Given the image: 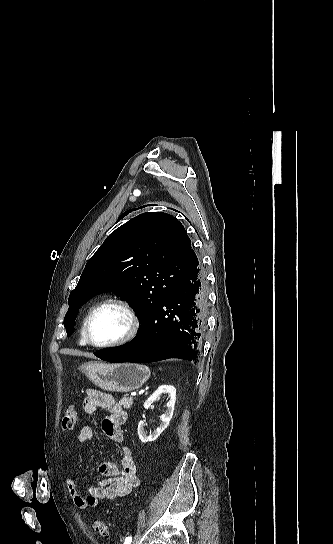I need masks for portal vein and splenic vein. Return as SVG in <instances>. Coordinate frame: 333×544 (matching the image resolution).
Here are the masks:
<instances>
[{
	"instance_id": "portal-vein-and-splenic-vein-1",
	"label": "portal vein and splenic vein",
	"mask_w": 333,
	"mask_h": 544,
	"mask_svg": "<svg viewBox=\"0 0 333 544\" xmlns=\"http://www.w3.org/2000/svg\"><path fill=\"white\" fill-rule=\"evenodd\" d=\"M135 395H136V392L131 393V396H135Z\"/></svg>"
}]
</instances>
